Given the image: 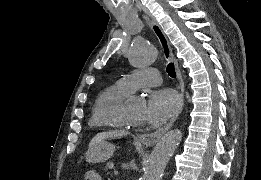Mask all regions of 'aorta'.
<instances>
[{
	"label": "aorta",
	"instance_id": "762f6f07",
	"mask_svg": "<svg viewBox=\"0 0 261 180\" xmlns=\"http://www.w3.org/2000/svg\"><path fill=\"white\" fill-rule=\"evenodd\" d=\"M157 49L146 41H135L129 51V62L136 68L152 64L157 58ZM182 138L179 129L167 132L155 145L144 168L142 180H161L166 165Z\"/></svg>",
	"mask_w": 261,
	"mask_h": 180
}]
</instances>
